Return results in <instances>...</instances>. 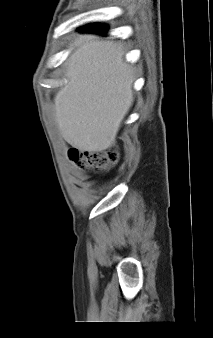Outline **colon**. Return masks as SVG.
Here are the masks:
<instances>
[{"label":"colon","mask_w":213,"mask_h":338,"mask_svg":"<svg viewBox=\"0 0 213 338\" xmlns=\"http://www.w3.org/2000/svg\"><path fill=\"white\" fill-rule=\"evenodd\" d=\"M71 162L82 169L105 172L116 161L117 154L114 151H90L72 148L68 152Z\"/></svg>","instance_id":"colon-1"}]
</instances>
